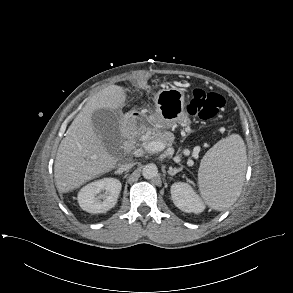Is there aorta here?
<instances>
[{
    "instance_id": "obj_1",
    "label": "aorta",
    "mask_w": 293,
    "mask_h": 293,
    "mask_svg": "<svg viewBox=\"0 0 293 293\" xmlns=\"http://www.w3.org/2000/svg\"><path fill=\"white\" fill-rule=\"evenodd\" d=\"M142 175L145 179H153L158 175V168L155 164H147L142 170Z\"/></svg>"
}]
</instances>
